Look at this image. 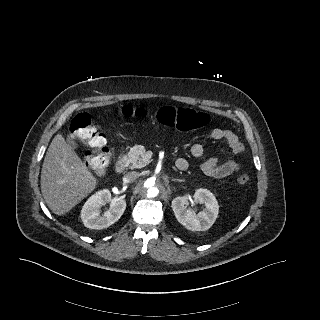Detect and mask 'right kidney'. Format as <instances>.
<instances>
[{
  "mask_svg": "<svg viewBox=\"0 0 320 320\" xmlns=\"http://www.w3.org/2000/svg\"><path fill=\"white\" fill-rule=\"evenodd\" d=\"M111 193L103 189L92 195L81 210V219L85 227L90 229H105L120 219L126 208V201L121 199L111 203ZM111 203L110 209L100 215V208Z\"/></svg>",
  "mask_w": 320,
  "mask_h": 320,
  "instance_id": "1",
  "label": "right kidney"
}]
</instances>
